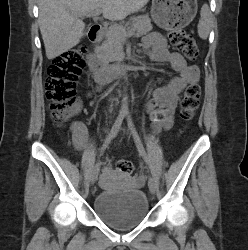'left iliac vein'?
Segmentation results:
<instances>
[{
	"label": "left iliac vein",
	"mask_w": 248,
	"mask_h": 250,
	"mask_svg": "<svg viewBox=\"0 0 248 250\" xmlns=\"http://www.w3.org/2000/svg\"><path fill=\"white\" fill-rule=\"evenodd\" d=\"M148 186H149L150 192L152 194H155L156 189H157V183H156L155 179L152 176L149 177Z\"/></svg>",
	"instance_id": "4c4485c4"
}]
</instances>
